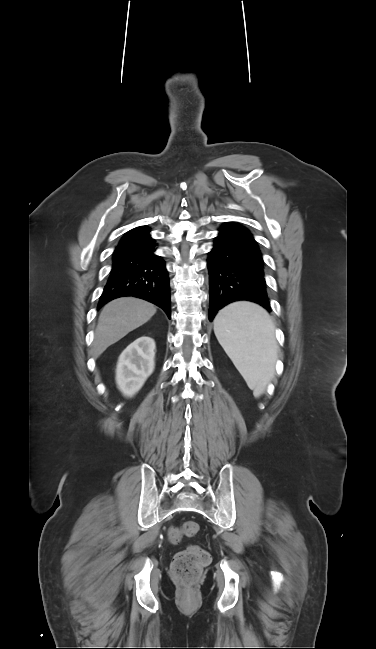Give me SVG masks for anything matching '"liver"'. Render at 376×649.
<instances>
[{"mask_svg":"<svg viewBox=\"0 0 376 649\" xmlns=\"http://www.w3.org/2000/svg\"><path fill=\"white\" fill-rule=\"evenodd\" d=\"M156 307L135 297H121L109 302L101 311L93 341V354L98 358L109 346L146 323Z\"/></svg>","mask_w":376,"mask_h":649,"instance_id":"6515ba94","label":"liver"}]
</instances>
